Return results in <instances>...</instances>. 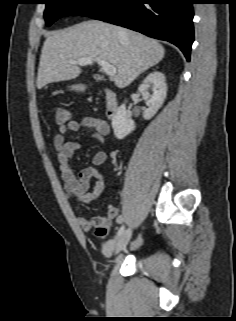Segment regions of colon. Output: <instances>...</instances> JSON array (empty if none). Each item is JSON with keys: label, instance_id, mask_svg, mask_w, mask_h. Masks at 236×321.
Wrapping results in <instances>:
<instances>
[{"label": "colon", "instance_id": "obj_1", "mask_svg": "<svg viewBox=\"0 0 236 321\" xmlns=\"http://www.w3.org/2000/svg\"><path fill=\"white\" fill-rule=\"evenodd\" d=\"M69 112L66 108L62 106H57L54 108V119L55 124L58 126H63L69 122ZM108 225H100L97 227L96 233L99 237H104L107 233Z\"/></svg>", "mask_w": 236, "mask_h": 321}]
</instances>
